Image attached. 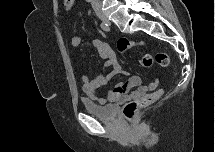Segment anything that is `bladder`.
<instances>
[{"label": "bladder", "mask_w": 215, "mask_h": 152, "mask_svg": "<svg viewBox=\"0 0 215 152\" xmlns=\"http://www.w3.org/2000/svg\"><path fill=\"white\" fill-rule=\"evenodd\" d=\"M84 109L101 119H111L115 114V107L113 105H100L88 97L81 100Z\"/></svg>", "instance_id": "obj_1"}]
</instances>
